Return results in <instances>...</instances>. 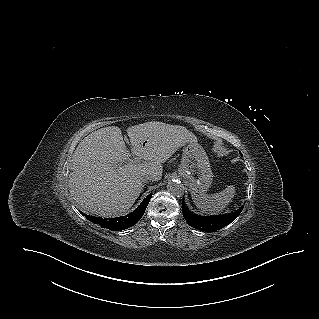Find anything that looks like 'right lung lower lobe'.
<instances>
[{
    "label": "right lung lower lobe",
    "mask_w": 319,
    "mask_h": 319,
    "mask_svg": "<svg viewBox=\"0 0 319 319\" xmlns=\"http://www.w3.org/2000/svg\"><path fill=\"white\" fill-rule=\"evenodd\" d=\"M151 194H149L140 206L135 209L133 212L126 216L116 217V218H101V217H94L90 215H85L88 220L91 222L98 224L104 228L113 230V231H120L127 229L134 224H136L141 217L143 216L145 209L151 199Z\"/></svg>",
    "instance_id": "right-lung-lower-lobe-1"
}]
</instances>
